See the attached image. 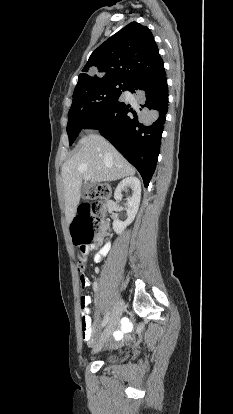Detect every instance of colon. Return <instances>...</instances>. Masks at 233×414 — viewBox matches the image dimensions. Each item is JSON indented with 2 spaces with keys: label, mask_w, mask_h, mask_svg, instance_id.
<instances>
[{
  "label": "colon",
  "mask_w": 233,
  "mask_h": 414,
  "mask_svg": "<svg viewBox=\"0 0 233 414\" xmlns=\"http://www.w3.org/2000/svg\"><path fill=\"white\" fill-rule=\"evenodd\" d=\"M111 188L107 184L96 186L89 194L92 202L81 206L71 225V234L74 245L80 250L89 246L104 230L103 202L110 197ZM79 273L86 270V262L80 259L77 262ZM81 286V284H80Z\"/></svg>",
  "instance_id": "5ec220e1"
}]
</instances>
